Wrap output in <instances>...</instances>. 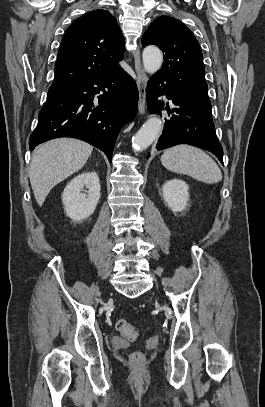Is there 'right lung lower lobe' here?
Returning <instances> with one entry per match:
<instances>
[{
	"instance_id": "1",
	"label": "right lung lower lobe",
	"mask_w": 265,
	"mask_h": 407,
	"mask_svg": "<svg viewBox=\"0 0 265 407\" xmlns=\"http://www.w3.org/2000/svg\"><path fill=\"white\" fill-rule=\"evenodd\" d=\"M137 102L135 81L120 67L87 78L47 98L30 136V149L50 139L74 137L102 150L111 162L118 133L135 117Z\"/></svg>"
}]
</instances>
